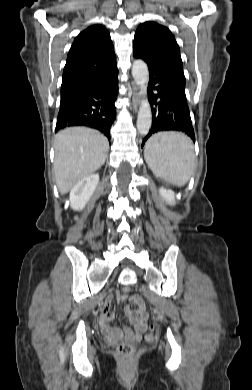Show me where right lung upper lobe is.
Returning a JSON list of instances; mask_svg holds the SVG:
<instances>
[{"label": "right lung upper lobe", "instance_id": "cb5924a9", "mask_svg": "<svg viewBox=\"0 0 252 390\" xmlns=\"http://www.w3.org/2000/svg\"><path fill=\"white\" fill-rule=\"evenodd\" d=\"M116 66L109 32L92 25L74 40L63 71L61 95L87 82L106 76Z\"/></svg>", "mask_w": 252, "mask_h": 390}]
</instances>
